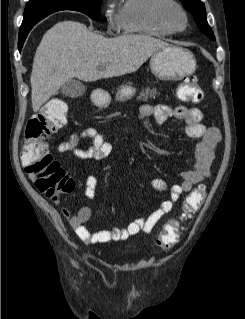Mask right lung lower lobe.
<instances>
[{
  "mask_svg": "<svg viewBox=\"0 0 245 319\" xmlns=\"http://www.w3.org/2000/svg\"><path fill=\"white\" fill-rule=\"evenodd\" d=\"M32 27H29V28L24 29V30H20V32H19V42H18V46H19V50L20 51H21L23 43H24L29 31L32 29Z\"/></svg>",
  "mask_w": 245,
  "mask_h": 319,
  "instance_id": "right-lung-lower-lobe-1",
  "label": "right lung lower lobe"
}]
</instances>
